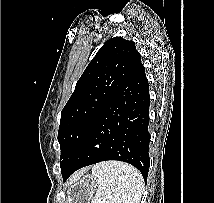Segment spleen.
Returning <instances> with one entry per match:
<instances>
[{"instance_id":"spleen-1","label":"spleen","mask_w":214,"mask_h":203,"mask_svg":"<svg viewBox=\"0 0 214 203\" xmlns=\"http://www.w3.org/2000/svg\"><path fill=\"white\" fill-rule=\"evenodd\" d=\"M97 191L92 203H140L144 182L139 171L122 162H102L92 168Z\"/></svg>"}]
</instances>
